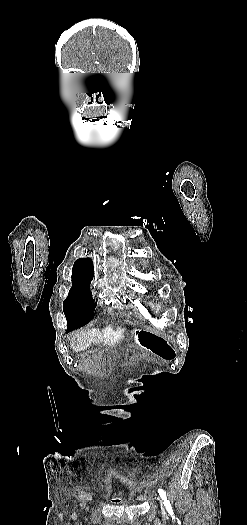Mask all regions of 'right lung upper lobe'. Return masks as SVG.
<instances>
[{"label": "right lung upper lobe", "instance_id": "obj_1", "mask_svg": "<svg viewBox=\"0 0 247 525\" xmlns=\"http://www.w3.org/2000/svg\"><path fill=\"white\" fill-rule=\"evenodd\" d=\"M72 273L94 275L93 262L89 258H80L75 261Z\"/></svg>", "mask_w": 247, "mask_h": 525}]
</instances>
